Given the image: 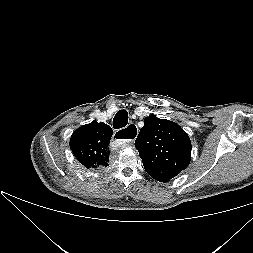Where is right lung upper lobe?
I'll return each instance as SVG.
<instances>
[{"label":"right lung upper lobe","mask_w":253,"mask_h":253,"mask_svg":"<svg viewBox=\"0 0 253 253\" xmlns=\"http://www.w3.org/2000/svg\"><path fill=\"white\" fill-rule=\"evenodd\" d=\"M112 134L110 126L93 121L74 131L70 139V148L84 167L100 170L108 166V144Z\"/></svg>","instance_id":"cb5924a9"}]
</instances>
